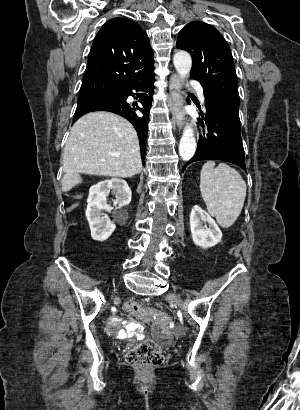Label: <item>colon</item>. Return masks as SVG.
I'll return each mask as SVG.
<instances>
[{
  "instance_id": "1",
  "label": "colon",
  "mask_w": 300,
  "mask_h": 410,
  "mask_svg": "<svg viewBox=\"0 0 300 410\" xmlns=\"http://www.w3.org/2000/svg\"><path fill=\"white\" fill-rule=\"evenodd\" d=\"M125 306L129 312L142 316V322L147 325L164 327L172 319L170 312H161L159 308L151 309L135 301H128ZM162 360L160 348L152 340H147L134 346L126 354L127 363L140 369L158 366Z\"/></svg>"
}]
</instances>
